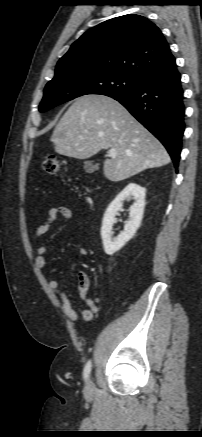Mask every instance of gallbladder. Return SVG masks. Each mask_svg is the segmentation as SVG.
<instances>
[{"label": "gallbladder", "instance_id": "gallbladder-1", "mask_svg": "<svg viewBox=\"0 0 202 437\" xmlns=\"http://www.w3.org/2000/svg\"><path fill=\"white\" fill-rule=\"evenodd\" d=\"M85 168L86 169H94V166L92 165L91 162H85Z\"/></svg>", "mask_w": 202, "mask_h": 437}]
</instances>
